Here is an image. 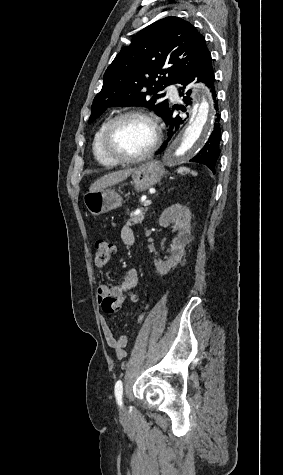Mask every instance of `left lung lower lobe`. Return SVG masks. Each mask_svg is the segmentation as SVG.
<instances>
[{"instance_id": "1", "label": "left lung lower lobe", "mask_w": 283, "mask_h": 475, "mask_svg": "<svg viewBox=\"0 0 283 475\" xmlns=\"http://www.w3.org/2000/svg\"><path fill=\"white\" fill-rule=\"evenodd\" d=\"M212 59L211 57L208 58L206 61L201 63L199 66L196 68L190 70L187 72L184 76H182L179 80L176 81V83L180 84L181 87L179 89V94L180 96H184L183 101L188 102L190 100L189 95L191 94V90H186V85L190 83L192 80H194V77H197L198 82L202 81L206 84V86L209 88V91L212 95V99L215 103V109L218 110V101L216 99V91H215V79H214V72L212 69L211 65ZM174 109H179V107L172 108V110L167 108V110L163 113V118L169 127V133H168V140L162 145L160 150L156 152V154L161 153L167 146V142L170 141L171 137L173 134L176 133V131L181 127V125L184 122V119L180 117L179 115L175 116L173 115V110ZM182 110V109H181ZM216 120L214 124V129L206 142V144L203 146V148L198 152L196 156H194L190 162H198L205 164L208 166L210 169L214 170L216 161L219 157L220 151H219V143H220V137H221V128L219 125V120H220V115L217 113L216 114Z\"/></svg>"}]
</instances>
